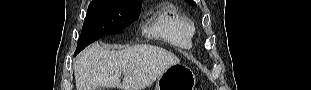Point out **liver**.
<instances>
[{
    "instance_id": "liver-1",
    "label": "liver",
    "mask_w": 311,
    "mask_h": 90,
    "mask_svg": "<svg viewBox=\"0 0 311 90\" xmlns=\"http://www.w3.org/2000/svg\"><path fill=\"white\" fill-rule=\"evenodd\" d=\"M179 61L173 53L148 44L119 51H110L99 44L91 45L74 62L76 89L117 87L121 90H143ZM122 73L124 79L121 83Z\"/></svg>"
}]
</instances>
